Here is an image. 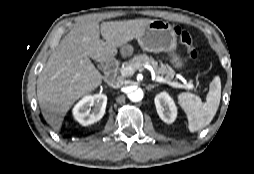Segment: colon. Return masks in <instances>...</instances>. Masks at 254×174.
I'll return each mask as SVG.
<instances>
[{
	"mask_svg": "<svg viewBox=\"0 0 254 174\" xmlns=\"http://www.w3.org/2000/svg\"><path fill=\"white\" fill-rule=\"evenodd\" d=\"M175 31L179 37L181 44L185 47L189 58L191 60H196L198 57V51L194 46L193 39L191 35L189 34V32L181 28H176Z\"/></svg>",
	"mask_w": 254,
	"mask_h": 174,
	"instance_id": "colon-1",
	"label": "colon"
}]
</instances>
